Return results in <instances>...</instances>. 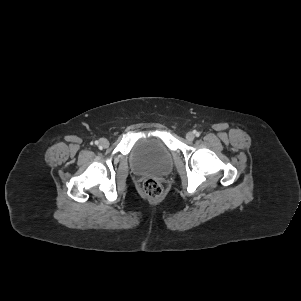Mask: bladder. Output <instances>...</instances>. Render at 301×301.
<instances>
[{"mask_svg":"<svg viewBox=\"0 0 301 301\" xmlns=\"http://www.w3.org/2000/svg\"><path fill=\"white\" fill-rule=\"evenodd\" d=\"M173 165L172 154L158 137L139 140L130 155V166L138 174H168Z\"/></svg>","mask_w":301,"mask_h":301,"instance_id":"31cf9c89","label":"bladder"}]
</instances>
